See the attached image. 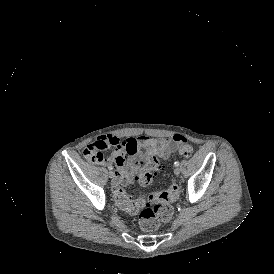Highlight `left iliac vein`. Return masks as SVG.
<instances>
[{"instance_id":"1","label":"left iliac vein","mask_w":274,"mask_h":274,"mask_svg":"<svg viewBox=\"0 0 274 274\" xmlns=\"http://www.w3.org/2000/svg\"><path fill=\"white\" fill-rule=\"evenodd\" d=\"M174 173H175V175H179L180 174V168L175 167L174 168Z\"/></svg>"}]
</instances>
